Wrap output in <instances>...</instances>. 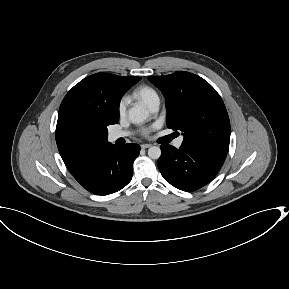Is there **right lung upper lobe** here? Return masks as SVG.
<instances>
[{
	"instance_id": "obj_1",
	"label": "right lung upper lobe",
	"mask_w": 289,
	"mask_h": 289,
	"mask_svg": "<svg viewBox=\"0 0 289 289\" xmlns=\"http://www.w3.org/2000/svg\"><path fill=\"white\" fill-rule=\"evenodd\" d=\"M140 79L96 73L81 80L64 97L55 137L59 153L72 174L112 145L107 141V126L118 122L121 97Z\"/></svg>"
}]
</instances>
